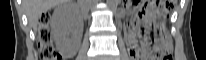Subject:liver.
Here are the masks:
<instances>
[{
    "instance_id": "liver-1",
    "label": "liver",
    "mask_w": 206,
    "mask_h": 60,
    "mask_svg": "<svg viewBox=\"0 0 206 60\" xmlns=\"http://www.w3.org/2000/svg\"><path fill=\"white\" fill-rule=\"evenodd\" d=\"M64 0H24V8L28 17L29 25L36 30L40 15L60 4Z\"/></svg>"
}]
</instances>
